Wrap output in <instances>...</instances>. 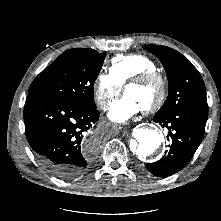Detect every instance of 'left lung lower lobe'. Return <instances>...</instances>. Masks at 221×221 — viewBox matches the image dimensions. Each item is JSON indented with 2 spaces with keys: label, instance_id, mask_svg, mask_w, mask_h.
Returning a JSON list of instances; mask_svg holds the SVG:
<instances>
[{
  "label": "left lung lower lobe",
  "instance_id": "obj_1",
  "mask_svg": "<svg viewBox=\"0 0 221 221\" xmlns=\"http://www.w3.org/2000/svg\"><path fill=\"white\" fill-rule=\"evenodd\" d=\"M207 118L208 110L193 106L162 116L155 115L153 120L169 130L167 139L171 144L159 161L147 163L146 168L158 177H167L182 170L203 139Z\"/></svg>",
  "mask_w": 221,
  "mask_h": 221
}]
</instances>
